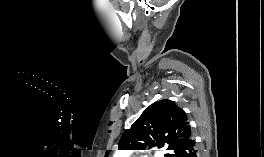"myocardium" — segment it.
I'll use <instances>...</instances> for the list:
<instances>
[{
    "instance_id": "f54148a6",
    "label": "myocardium",
    "mask_w": 264,
    "mask_h": 157,
    "mask_svg": "<svg viewBox=\"0 0 264 157\" xmlns=\"http://www.w3.org/2000/svg\"><path fill=\"white\" fill-rule=\"evenodd\" d=\"M132 157H145V156H139V155H136V156H132Z\"/></svg>"
}]
</instances>
